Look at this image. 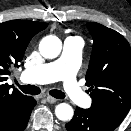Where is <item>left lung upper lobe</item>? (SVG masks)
Returning a JSON list of instances; mask_svg holds the SVG:
<instances>
[{
    "label": "left lung upper lobe",
    "mask_w": 131,
    "mask_h": 131,
    "mask_svg": "<svg viewBox=\"0 0 131 131\" xmlns=\"http://www.w3.org/2000/svg\"><path fill=\"white\" fill-rule=\"evenodd\" d=\"M87 27L94 40L86 74L92 98L89 109L115 129L131 107V47L110 28L93 22Z\"/></svg>",
    "instance_id": "obj_1"
}]
</instances>
